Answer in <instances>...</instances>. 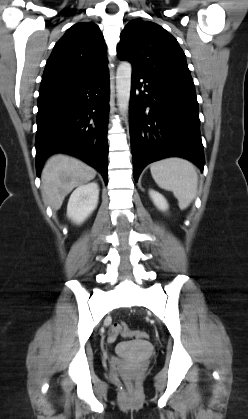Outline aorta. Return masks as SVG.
Returning a JSON list of instances; mask_svg holds the SVG:
<instances>
[{"instance_id": "aorta-1", "label": "aorta", "mask_w": 248, "mask_h": 419, "mask_svg": "<svg viewBox=\"0 0 248 419\" xmlns=\"http://www.w3.org/2000/svg\"><path fill=\"white\" fill-rule=\"evenodd\" d=\"M131 63L124 61L119 64L116 72L117 104L124 115L128 112L131 91Z\"/></svg>"}]
</instances>
